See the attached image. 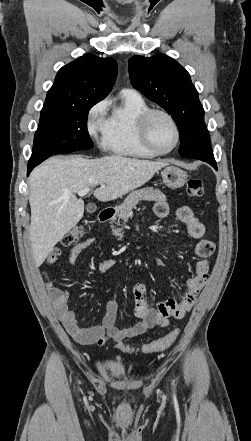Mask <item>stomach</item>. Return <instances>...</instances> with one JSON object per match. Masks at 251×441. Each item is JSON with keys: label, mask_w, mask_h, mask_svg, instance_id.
<instances>
[{"label": "stomach", "mask_w": 251, "mask_h": 441, "mask_svg": "<svg viewBox=\"0 0 251 441\" xmlns=\"http://www.w3.org/2000/svg\"><path fill=\"white\" fill-rule=\"evenodd\" d=\"M161 174L163 183L172 189L183 187L187 181V173L176 166H167Z\"/></svg>", "instance_id": "1"}]
</instances>
